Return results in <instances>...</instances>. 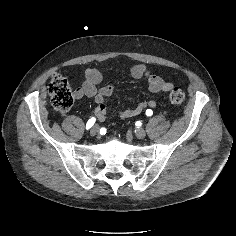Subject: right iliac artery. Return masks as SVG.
<instances>
[{
	"label": "right iliac artery",
	"instance_id": "1",
	"mask_svg": "<svg viewBox=\"0 0 236 236\" xmlns=\"http://www.w3.org/2000/svg\"><path fill=\"white\" fill-rule=\"evenodd\" d=\"M95 120L96 119L94 117H92L91 119L88 120V122L86 124V129L87 130H89L93 126V124L95 123Z\"/></svg>",
	"mask_w": 236,
	"mask_h": 236
}]
</instances>
